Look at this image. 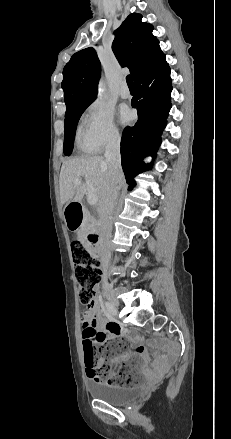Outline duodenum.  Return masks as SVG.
<instances>
[{"label": "duodenum", "instance_id": "410a0bca", "mask_svg": "<svg viewBox=\"0 0 231 439\" xmlns=\"http://www.w3.org/2000/svg\"><path fill=\"white\" fill-rule=\"evenodd\" d=\"M82 210V202L78 201L76 203H71L67 206L68 217L72 220L79 219ZM86 242L93 251L99 247L100 237L95 231H91L86 236Z\"/></svg>", "mask_w": 231, "mask_h": 439}]
</instances>
